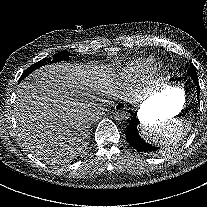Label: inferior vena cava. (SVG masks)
I'll list each match as a JSON object with an SVG mask.
<instances>
[{
	"mask_svg": "<svg viewBox=\"0 0 207 207\" xmlns=\"http://www.w3.org/2000/svg\"><path fill=\"white\" fill-rule=\"evenodd\" d=\"M101 116H94L93 114V119H99Z\"/></svg>",
	"mask_w": 207,
	"mask_h": 207,
	"instance_id": "inferior-vena-cava-1",
	"label": "inferior vena cava"
}]
</instances>
